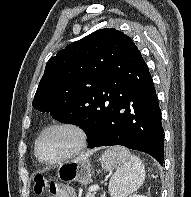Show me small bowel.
<instances>
[{"instance_id": "c3829d8e", "label": "small bowel", "mask_w": 191, "mask_h": 197, "mask_svg": "<svg viewBox=\"0 0 191 197\" xmlns=\"http://www.w3.org/2000/svg\"><path fill=\"white\" fill-rule=\"evenodd\" d=\"M57 196V195H56ZM58 197V196H57ZM69 197H71V193L69 194Z\"/></svg>"}]
</instances>
